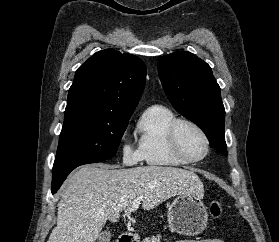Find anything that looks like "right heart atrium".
Returning <instances> with one entry per match:
<instances>
[{
    "label": "right heart atrium",
    "instance_id": "right-heart-atrium-1",
    "mask_svg": "<svg viewBox=\"0 0 279 242\" xmlns=\"http://www.w3.org/2000/svg\"><path fill=\"white\" fill-rule=\"evenodd\" d=\"M120 151L122 162L125 165L132 166L142 160L141 153L138 148L134 147L128 137L123 135L120 141Z\"/></svg>",
    "mask_w": 279,
    "mask_h": 242
}]
</instances>
